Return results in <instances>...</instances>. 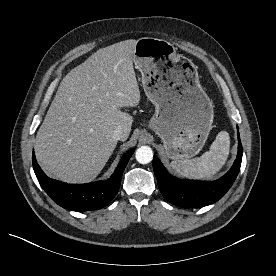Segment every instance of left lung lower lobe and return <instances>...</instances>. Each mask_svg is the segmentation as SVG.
Here are the masks:
<instances>
[{"instance_id":"left-lung-lower-lobe-1","label":"left lung lower lobe","mask_w":276,"mask_h":276,"mask_svg":"<svg viewBox=\"0 0 276 276\" xmlns=\"http://www.w3.org/2000/svg\"><path fill=\"white\" fill-rule=\"evenodd\" d=\"M238 133V154L231 169L213 182L179 180L172 177L160 160L154 155L153 169L163 197L172 204L183 208H200L210 205L230 189L235 181L242 161V144Z\"/></svg>"}]
</instances>
